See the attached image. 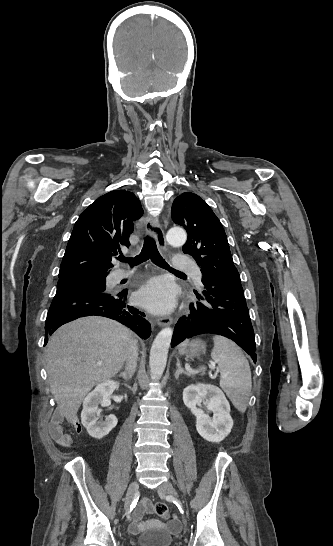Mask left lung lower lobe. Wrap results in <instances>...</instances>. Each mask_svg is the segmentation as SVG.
<instances>
[{
    "mask_svg": "<svg viewBox=\"0 0 333 546\" xmlns=\"http://www.w3.org/2000/svg\"><path fill=\"white\" fill-rule=\"evenodd\" d=\"M201 302L190 305L174 328L171 345L200 334H216L232 339L256 362V343L249 310L241 285L214 286L202 279Z\"/></svg>",
    "mask_w": 333,
    "mask_h": 546,
    "instance_id": "obj_1",
    "label": "left lung lower lobe"
}]
</instances>
